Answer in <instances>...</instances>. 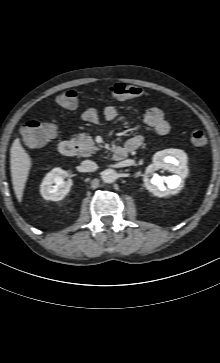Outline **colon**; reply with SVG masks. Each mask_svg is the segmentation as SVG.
Returning <instances> with one entry per match:
<instances>
[{
    "mask_svg": "<svg viewBox=\"0 0 220 363\" xmlns=\"http://www.w3.org/2000/svg\"><path fill=\"white\" fill-rule=\"evenodd\" d=\"M109 92L114 99L124 100L148 96L142 88L126 84L115 83L109 87ZM55 103L64 109H73L78 103V93L73 89L61 92L55 99ZM57 133L55 124L48 121H30L22 126L19 131L21 139L26 147H36L51 141ZM189 138L196 146H205L208 142L207 135L200 129L190 132Z\"/></svg>",
    "mask_w": 220,
    "mask_h": 363,
    "instance_id": "colon-1",
    "label": "colon"
}]
</instances>
